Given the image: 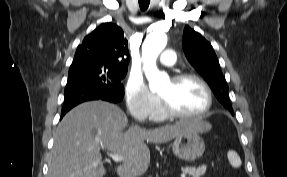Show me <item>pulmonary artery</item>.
Masks as SVG:
<instances>
[{
	"label": "pulmonary artery",
	"mask_w": 287,
	"mask_h": 177,
	"mask_svg": "<svg viewBox=\"0 0 287 177\" xmlns=\"http://www.w3.org/2000/svg\"><path fill=\"white\" fill-rule=\"evenodd\" d=\"M175 52L173 49H166L160 56V63L164 66H173L175 64Z\"/></svg>",
	"instance_id": "e3ab8cb5"
}]
</instances>
